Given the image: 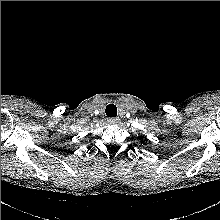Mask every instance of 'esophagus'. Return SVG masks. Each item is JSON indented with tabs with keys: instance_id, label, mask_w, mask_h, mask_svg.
Wrapping results in <instances>:
<instances>
[{
	"instance_id": "1",
	"label": "esophagus",
	"mask_w": 220,
	"mask_h": 220,
	"mask_svg": "<svg viewBox=\"0 0 220 220\" xmlns=\"http://www.w3.org/2000/svg\"><path fill=\"white\" fill-rule=\"evenodd\" d=\"M120 122V119H118V118H114V117H111V118H109L108 119V123L109 124H118Z\"/></svg>"
}]
</instances>
